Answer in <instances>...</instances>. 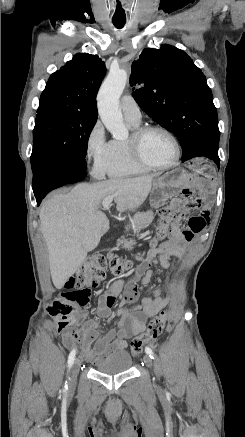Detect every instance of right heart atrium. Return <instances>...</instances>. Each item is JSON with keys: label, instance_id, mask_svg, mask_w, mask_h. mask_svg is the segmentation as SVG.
<instances>
[{"label": "right heart atrium", "instance_id": "1", "mask_svg": "<svg viewBox=\"0 0 245 437\" xmlns=\"http://www.w3.org/2000/svg\"><path fill=\"white\" fill-rule=\"evenodd\" d=\"M110 145L111 141L107 139L103 124L96 121L88 133L85 144L86 161L96 177H102L105 174L110 155Z\"/></svg>", "mask_w": 245, "mask_h": 437}]
</instances>
